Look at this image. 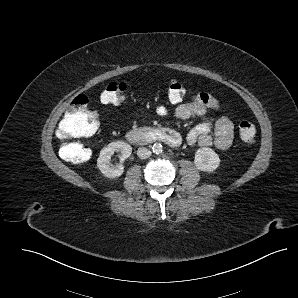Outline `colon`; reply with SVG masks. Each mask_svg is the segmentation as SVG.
<instances>
[{
    "instance_id": "colon-1",
    "label": "colon",
    "mask_w": 298,
    "mask_h": 298,
    "mask_svg": "<svg viewBox=\"0 0 298 298\" xmlns=\"http://www.w3.org/2000/svg\"><path fill=\"white\" fill-rule=\"evenodd\" d=\"M127 85L121 81H112L107 84L101 93L100 100L105 104H120L124 101ZM189 90L178 81H170L166 87V94L170 102L179 103L188 94ZM99 126L97 114L89 107L86 96L79 95L73 99L63 118L56 128V135L65 141L66 152L78 150L81 159L90 156L89 150L84 146H75L70 140L87 137L96 132ZM239 134L243 142L252 144L255 141L256 129L249 121L239 124Z\"/></svg>"
}]
</instances>
